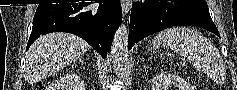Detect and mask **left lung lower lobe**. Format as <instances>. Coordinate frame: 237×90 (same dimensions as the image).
<instances>
[{"label": "left lung lower lobe", "mask_w": 237, "mask_h": 90, "mask_svg": "<svg viewBox=\"0 0 237 90\" xmlns=\"http://www.w3.org/2000/svg\"><path fill=\"white\" fill-rule=\"evenodd\" d=\"M177 25L198 26L220 37L205 1L140 0L131 11L128 49L148 35Z\"/></svg>", "instance_id": "obj_1"}]
</instances>
